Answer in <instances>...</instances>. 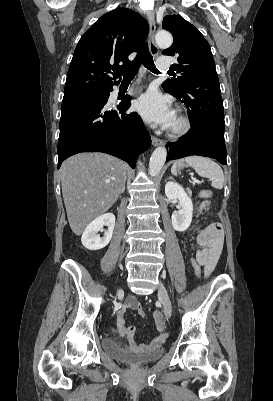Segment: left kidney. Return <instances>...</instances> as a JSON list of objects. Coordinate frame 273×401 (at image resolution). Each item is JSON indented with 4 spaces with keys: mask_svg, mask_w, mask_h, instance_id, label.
I'll use <instances>...</instances> for the list:
<instances>
[{
    "mask_svg": "<svg viewBox=\"0 0 273 401\" xmlns=\"http://www.w3.org/2000/svg\"><path fill=\"white\" fill-rule=\"evenodd\" d=\"M165 194L168 198H178L181 207L180 211H176L171 217L173 229L175 231H187L193 215V203L190 196L178 182H166Z\"/></svg>",
    "mask_w": 273,
    "mask_h": 401,
    "instance_id": "1",
    "label": "left kidney"
}]
</instances>
